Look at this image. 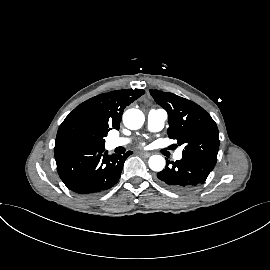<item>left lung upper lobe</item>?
<instances>
[{
  "instance_id": "left-lung-upper-lobe-1",
  "label": "left lung upper lobe",
  "mask_w": 270,
  "mask_h": 270,
  "mask_svg": "<svg viewBox=\"0 0 270 270\" xmlns=\"http://www.w3.org/2000/svg\"><path fill=\"white\" fill-rule=\"evenodd\" d=\"M150 94L168 113V136L184 145L183 156L215 166L219 132L211 116L196 103L170 92L151 89Z\"/></svg>"
}]
</instances>
